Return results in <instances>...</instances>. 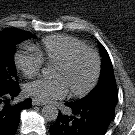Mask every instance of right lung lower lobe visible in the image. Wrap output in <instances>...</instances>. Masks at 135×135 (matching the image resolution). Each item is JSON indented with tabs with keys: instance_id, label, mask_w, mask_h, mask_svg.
I'll use <instances>...</instances> for the list:
<instances>
[{
	"instance_id": "1",
	"label": "right lung lower lobe",
	"mask_w": 135,
	"mask_h": 135,
	"mask_svg": "<svg viewBox=\"0 0 135 135\" xmlns=\"http://www.w3.org/2000/svg\"><path fill=\"white\" fill-rule=\"evenodd\" d=\"M19 92V86L0 92V135H14L18 128L20 112L31 107L30 98L15 105L9 103Z\"/></svg>"
}]
</instances>
